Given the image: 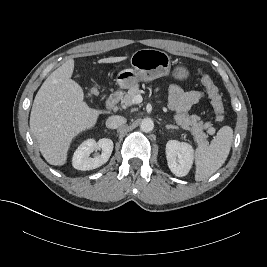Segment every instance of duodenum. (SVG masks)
I'll return each instance as SVG.
<instances>
[{
	"label": "duodenum",
	"mask_w": 267,
	"mask_h": 267,
	"mask_svg": "<svg viewBox=\"0 0 267 267\" xmlns=\"http://www.w3.org/2000/svg\"><path fill=\"white\" fill-rule=\"evenodd\" d=\"M122 98V91L121 90H117L115 92H113L112 94H110V96L108 97L107 101H106V108L108 110H112L121 100Z\"/></svg>",
	"instance_id": "duodenum-1"
}]
</instances>
